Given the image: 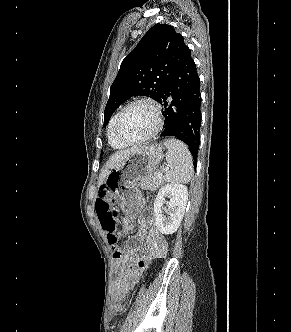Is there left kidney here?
I'll list each match as a JSON object with an SVG mask.
<instances>
[{
	"instance_id": "left-kidney-1",
	"label": "left kidney",
	"mask_w": 291,
	"mask_h": 332,
	"mask_svg": "<svg viewBox=\"0 0 291 332\" xmlns=\"http://www.w3.org/2000/svg\"><path fill=\"white\" fill-rule=\"evenodd\" d=\"M165 197H169L167 202L169 216L165 217L162 212L166 203ZM188 200V190L182 184H166L160 188L154 202V217L158 230L165 235L173 234L177 231L183 219Z\"/></svg>"
}]
</instances>
